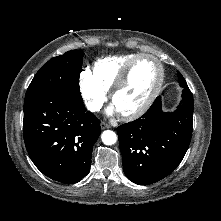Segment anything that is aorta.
Instances as JSON below:
<instances>
[{"instance_id": "762f6f07", "label": "aorta", "mask_w": 221, "mask_h": 221, "mask_svg": "<svg viewBox=\"0 0 221 221\" xmlns=\"http://www.w3.org/2000/svg\"><path fill=\"white\" fill-rule=\"evenodd\" d=\"M101 139L105 145H113L117 141V135L111 130H106L102 133Z\"/></svg>"}]
</instances>
